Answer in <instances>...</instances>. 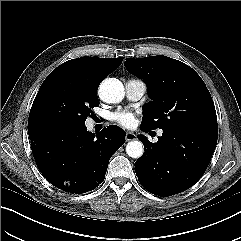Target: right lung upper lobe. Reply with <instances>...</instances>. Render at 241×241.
<instances>
[{
	"label": "right lung upper lobe",
	"mask_w": 241,
	"mask_h": 241,
	"mask_svg": "<svg viewBox=\"0 0 241 241\" xmlns=\"http://www.w3.org/2000/svg\"><path fill=\"white\" fill-rule=\"evenodd\" d=\"M122 60L123 58H77L61 64L53 71H66L86 90L97 93L99 84L121 65Z\"/></svg>",
	"instance_id": "right-lung-upper-lobe-1"
}]
</instances>
